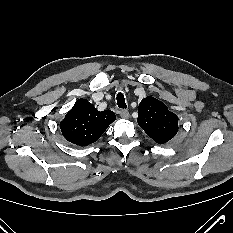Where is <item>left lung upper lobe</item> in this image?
<instances>
[{
  "instance_id": "obj_1",
  "label": "left lung upper lobe",
  "mask_w": 233,
  "mask_h": 233,
  "mask_svg": "<svg viewBox=\"0 0 233 233\" xmlns=\"http://www.w3.org/2000/svg\"><path fill=\"white\" fill-rule=\"evenodd\" d=\"M137 122L156 143L164 144L178 132V117L154 97L144 98L138 107Z\"/></svg>"
}]
</instances>
